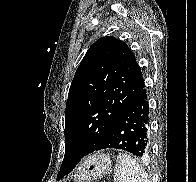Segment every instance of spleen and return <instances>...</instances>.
<instances>
[{
  "label": "spleen",
  "instance_id": "spleen-1",
  "mask_svg": "<svg viewBox=\"0 0 196 182\" xmlns=\"http://www.w3.org/2000/svg\"><path fill=\"white\" fill-rule=\"evenodd\" d=\"M114 182H150L147 173L127 153L117 155L114 169Z\"/></svg>",
  "mask_w": 196,
  "mask_h": 182
}]
</instances>
